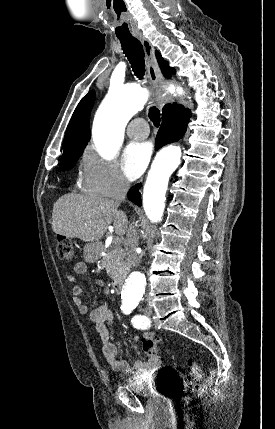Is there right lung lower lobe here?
<instances>
[{
  "instance_id": "1",
  "label": "right lung lower lobe",
  "mask_w": 275,
  "mask_h": 429,
  "mask_svg": "<svg viewBox=\"0 0 275 429\" xmlns=\"http://www.w3.org/2000/svg\"><path fill=\"white\" fill-rule=\"evenodd\" d=\"M190 116L191 112L188 108L177 104L170 105L162 115V124L156 138V149L180 139L186 132ZM140 187L141 184H137L128 192V199L138 206L142 204Z\"/></svg>"
}]
</instances>
